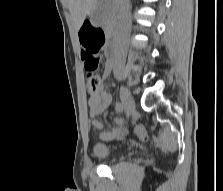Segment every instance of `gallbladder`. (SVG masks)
I'll list each match as a JSON object with an SVG mask.
<instances>
[{
  "mask_svg": "<svg viewBox=\"0 0 223 191\" xmlns=\"http://www.w3.org/2000/svg\"><path fill=\"white\" fill-rule=\"evenodd\" d=\"M90 20L94 25H100L102 23L101 12L99 9L93 12Z\"/></svg>",
  "mask_w": 223,
  "mask_h": 191,
  "instance_id": "gallbladder-1",
  "label": "gallbladder"
}]
</instances>
